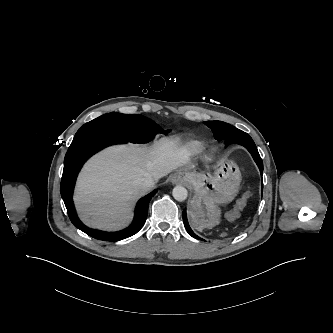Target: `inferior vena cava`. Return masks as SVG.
Wrapping results in <instances>:
<instances>
[{"instance_id":"1","label":"inferior vena cava","mask_w":333,"mask_h":333,"mask_svg":"<svg viewBox=\"0 0 333 333\" xmlns=\"http://www.w3.org/2000/svg\"><path fill=\"white\" fill-rule=\"evenodd\" d=\"M155 185V181L151 178H142L137 182V186L143 190L148 191Z\"/></svg>"}]
</instances>
